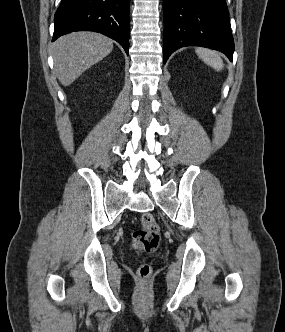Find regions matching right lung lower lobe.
<instances>
[{
    "label": "right lung lower lobe",
    "instance_id": "98d812e1",
    "mask_svg": "<svg viewBox=\"0 0 285 332\" xmlns=\"http://www.w3.org/2000/svg\"><path fill=\"white\" fill-rule=\"evenodd\" d=\"M130 0H62L54 17L52 41L74 31L102 33L129 51Z\"/></svg>",
    "mask_w": 285,
    "mask_h": 332
}]
</instances>
